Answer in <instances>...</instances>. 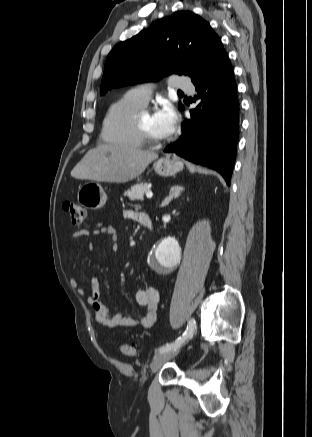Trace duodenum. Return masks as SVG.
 I'll return each mask as SVG.
<instances>
[{
    "label": "duodenum",
    "mask_w": 312,
    "mask_h": 437,
    "mask_svg": "<svg viewBox=\"0 0 312 437\" xmlns=\"http://www.w3.org/2000/svg\"><path fill=\"white\" fill-rule=\"evenodd\" d=\"M141 224L146 227L148 230H152L153 229V223L152 220L150 219V217L146 214L143 215L142 220H141Z\"/></svg>",
    "instance_id": "410a0bca"
}]
</instances>
